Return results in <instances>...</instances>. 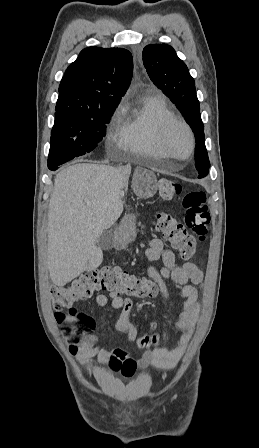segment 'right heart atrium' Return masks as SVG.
<instances>
[{
	"mask_svg": "<svg viewBox=\"0 0 259 448\" xmlns=\"http://www.w3.org/2000/svg\"><path fill=\"white\" fill-rule=\"evenodd\" d=\"M120 142L121 139L117 130L112 128V126H108L105 133V146L110 148L113 147L115 144H119Z\"/></svg>",
	"mask_w": 259,
	"mask_h": 448,
	"instance_id": "d8ad5b80",
	"label": "right heart atrium"
}]
</instances>
